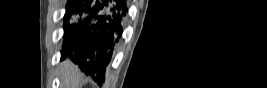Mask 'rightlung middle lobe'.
<instances>
[{
	"mask_svg": "<svg viewBox=\"0 0 267 88\" xmlns=\"http://www.w3.org/2000/svg\"><path fill=\"white\" fill-rule=\"evenodd\" d=\"M71 4H72V2L68 1L67 6H70ZM67 6H66V7H67Z\"/></svg>",
	"mask_w": 267,
	"mask_h": 88,
	"instance_id": "1",
	"label": "right lung middle lobe"
}]
</instances>
